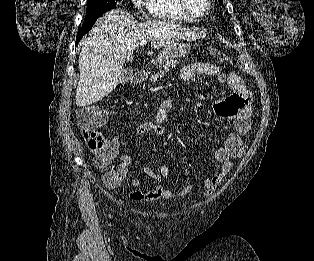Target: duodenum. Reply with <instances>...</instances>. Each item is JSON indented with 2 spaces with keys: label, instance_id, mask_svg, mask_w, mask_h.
Segmentation results:
<instances>
[{
  "label": "duodenum",
  "instance_id": "duodenum-1",
  "mask_svg": "<svg viewBox=\"0 0 314 261\" xmlns=\"http://www.w3.org/2000/svg\"><path fill=\"white\" fill-rule=\"evenodd\" d=\"M146 79V73L145 71H137L134 73L132 77V83L133 84H141L145 81Z\"/></svg>",
  "mask_w": 314,
  "mask_h": 261
}]
</instances>
